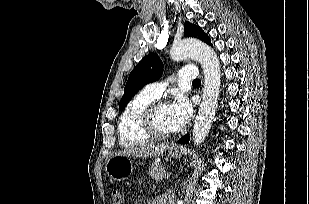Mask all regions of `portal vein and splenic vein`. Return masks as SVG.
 <instances>
[{
    "label": "portal vein and splenic vein",
    "instance_id": "portal-vein-and-splenic-vein-1",
    "mask_svg": "<svg viewBox=\"0 0 309 204\" xmlns=\"http://www.w3.org/2000/svg\"><path fill=\"white\" fill-rule=\"evenodd\" d=\"M170 175H171V173H170V172H167V173H166V176H167V177H169Z\"/></svg>",
    "mask_w": 309,
    "mask_h": 204
}]
</instances>
